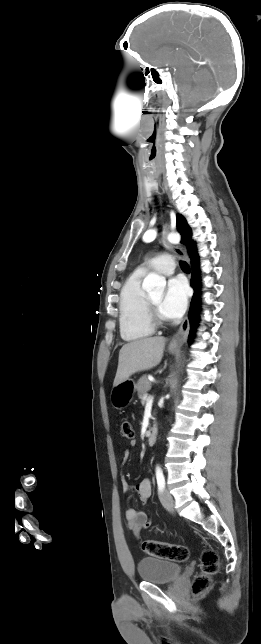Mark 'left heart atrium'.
<instances>
[{"label":"left heart atrium","instance_id":"1","mask_svg":"<svg viewBox=\"0 0 261 644\" xmlns=\"http://www.w3.org/2000/svg\"><path fill=\"white\" fill-rule=\"evenodd\" d=\"M187 305V287L181 278H171L163 296L160 309L168 319L179 318Z\"/></svg>","mask_w":261,"mask_h":644}]
</instances>
